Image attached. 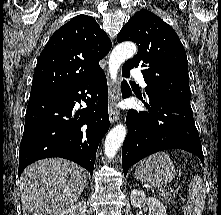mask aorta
<instances>
[{"label": "aorta", "instance_id": "1", "mask_svg": "<svg viewBox=\"0 0 221 215\" xmlns=\"http://www.w3.org/2000/svg\"><path fill=\"white\" fill-rule=\"evenodd\" d=\"M136 52L137 47L132 42L120 43L112 50L109 57L108 66L110 77L113 82L117 81L120 66L126 60L134 56ZM126 133L127 128L122 124H119L110 130L104 144V152L108 158H114L125 139Z\"/></svg>", "mask_w": 221, "mask_h": 215}]
</instances>
